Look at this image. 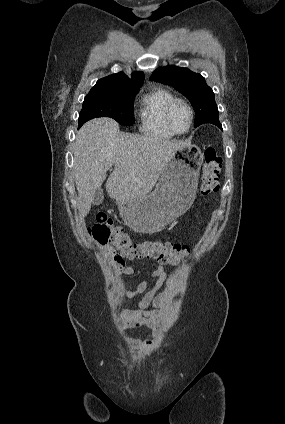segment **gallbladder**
I'll return each mask as SVG.
<instances>
[{
	"mask_svg": "<svg viewBox=\"0 0 285 424\" xmlns=\"http://www.w3.org/2000/svg\"><path fill=\"white\" fill-rule=\"evenodd\" d=\"M103 190L99 187L93 192V204L100 205L103 202Z\"/></svg>",
	"mask_w": 285,
	"mask_h": 424,
	"instance_id": "obj_1",
	"label": "gallbladder"
}]
</instances>
